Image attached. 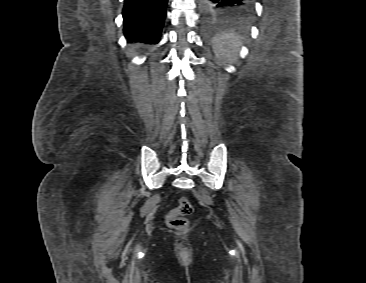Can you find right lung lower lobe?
<instances>
[{"label": "right lung lower lobe", "instance_id": "1", "mask_svg": "<svg viewBox=\"0 0 366 283\" xmlns=\"http://www.w3.org/2000/svg\"><path fill=\"white\" fill-rule=\"evenodd\" d=\"M168 0H125L124 34L130 42L157 44Z\"/></svg>", "mask_w": 366, "mask_h": 283}]
</instances>
